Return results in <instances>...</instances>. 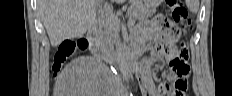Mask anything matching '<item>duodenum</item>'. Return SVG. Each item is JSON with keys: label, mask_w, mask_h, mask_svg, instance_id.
Instances as JSON below:
<instances>
[{"label": "duodenum", "mask_w": 232, "mask_h": 96, "mask_svg": "<svg viewBox=\"0 0 232 96\" xmlns=\"http://www.w3.org/2000/svg\"><path fill=\"white\" fill-rule=\"evenodd\" d=\"M99 34V25H94L87 33V40L93 57L99 61H108L116 68L126 72H134L138 67L135 53L130 49L119 47L117 54L114 57H110L98 44Z\"/></svg>", "instance_id": "obj_1"}]
</instances>
